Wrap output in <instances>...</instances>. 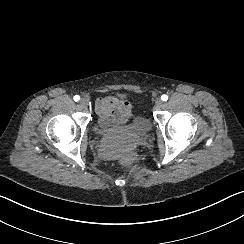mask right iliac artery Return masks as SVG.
<instances>
[{
    "mask_svg": "<svg viewBox=\"0 0 244 244\" xmlns=\"http://www.w3.org/2000/svg\"><path fill=\"white\" fill-rule=\"evenodd\" d=\"M73 99H74V101L77 102V101H79L80 97H79V95H75Z\"/></svg>",
    "mask_w": 244,
    "mask_h": 244,
    "instance_id": "82829eb1",
    "label": "right iliac artery"
}]
</instances>
